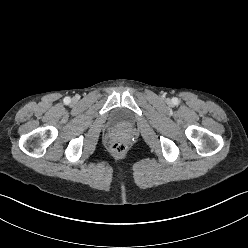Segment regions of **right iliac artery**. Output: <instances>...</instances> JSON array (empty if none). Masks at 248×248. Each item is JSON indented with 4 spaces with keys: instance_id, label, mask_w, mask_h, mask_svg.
I'll use <instances>...</instances> for the list:
<instances>
[{
    "instance_id": "1",
    "label": "right iliac artery",
    "mask_w": 248,
    "mask_h": 248,
    "mask_svg": "<svg viewBox=\"0 0 248 248\" xmlns=\"http://www.w3.org/2000/svg\"><path fill=\"white\" fill-rule=\"evenodd\" d=\"M70 101H71L70 97H65V98H64V103H65V104H69Z\"/></svg>"
}]
</instances>
